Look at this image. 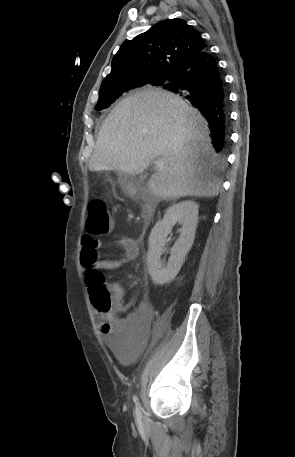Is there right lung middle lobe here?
Here are the masks:
<instances>
[{
  "label": "right lung middle lobe",
  "instance_id": "obj_1",
  "mask_svg": "<svg viewBox=\"0 0 295 457\" xmlns=\"http://www.w3.org/2000/svg\"><path fill=\"white\" fill-rule=\"evenodd\" d=\"M173 77L174 76L152 78V79H149L148 81L138 84L136 87L143 86V85H154V86H161L164 89H166L169 86V84L173 81ZM136 87H134V88H136ZM128 91L129 90H125L123 88L106 89V90L100 91L99 100L95 106V109L102 110V109L109 107L118 97H120L121 95H123L124 93H126Z\"/></svg>",
  "mask_w": 295,
  "mask_h": 457
}]
</instances>
